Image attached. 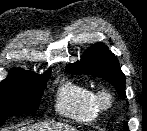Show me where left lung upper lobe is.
Returning <instances> with one entry per match:
<instances>
[{"mask_svg":"<svg viewBox=\"0 0 147 131\" xmlns=\"http://www.w3.org/2000/svg\"><path fill=\"white\" fill-rule=\"evenodd\" d=\"M71 73L101 77L111 83L118 94L126 98L125 75L118 59L104 44H94L86 50L80 61L67 66Z\"/></svg>","mask_w":147,"mask_h":131,"instance_id":"5c2ea615","label":"left lung upper lobe"}]
</instances>
